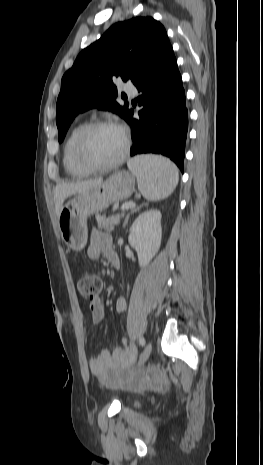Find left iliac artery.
Returning <instances> with one entry per match:
<instances>
[{
  "label": "left iliac artery",
  "instance_id": "obj_1",
  "mask_svg": "<svg viewBox=\"0 0 263 465\" xmlns=\"http://www.w3.org/2000/svg\"><path fill=\"white\" fill-rule=\"evenodd\" d=\"M139 344L143 347L145 345V339L143 337H139Z\"/></svg>",
  "mask_w": 263,
  "mask_h": 465
}]
</instances>
